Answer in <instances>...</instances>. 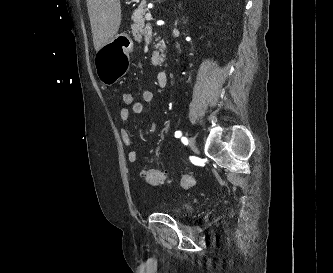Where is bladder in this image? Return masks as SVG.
<instances>
[{"instance_id":"obj_1","label":"bladder","mask_w":333,"mask_h":273,"mask_svg":"<svg viewBox=\"0 0 333 273\" xmlns=\"http://www.w3.org/2000/svg\"><path fill=\"white\" fill-rule=\"evenodd\" d=\"M188 212H189V206L183 205L181 206L180 210L174 212V215L178 218H184Z\"/></svg>"}]
</instances>
